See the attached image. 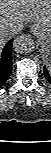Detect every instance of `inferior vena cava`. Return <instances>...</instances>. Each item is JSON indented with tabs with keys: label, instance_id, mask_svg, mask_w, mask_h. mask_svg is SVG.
I'll return each instance as SVG.
<instances>
[{
	"label": "inferior vena cava",
	"instance_id": "1",
	"mask_svg": "<svg viewBox=\"0 0 51 153\" xmlns=\"http://www.w3.org/2000/svg\"><path fill=\"white\" fill-rule=\"evenodd\" d=\"M23 29L22 25L17 26L9 35L7 32H0V45L4 44L5 41L8 40V38L17 35L21 32Z\"/></svg>",
	"mask_w": 51,
	"mask_h": 153
}]
</instances>
